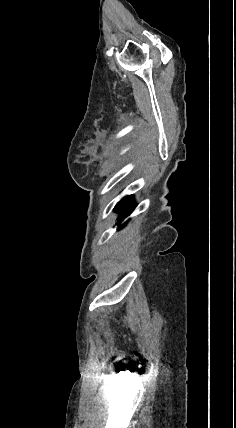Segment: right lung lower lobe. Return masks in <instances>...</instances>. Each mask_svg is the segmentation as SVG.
Returning <instances> with one entry per match:
<instances>
[{"label":"right lung lower lobe","instance_id":"obj_1","mask_svg":"<svg viewBox=\"0 0 236 428\" xmlns=\"http://www.w3.org/2000/svg\"><path fill=\"white\" fill-rule=\"evenodd\" d=\"M135 208V205L132 201V196H127L123 198L114 208L115 212H120L121 215L118 218V221L121 222L125 217H127ZM122 225L120 228H122Z\"/></svg>","mask_w":236,"mask_h":428}]
</instances>
